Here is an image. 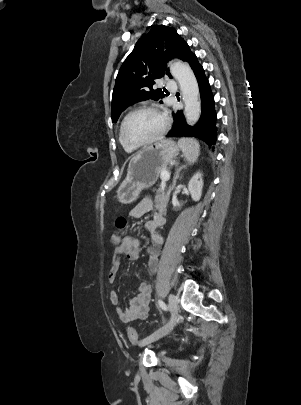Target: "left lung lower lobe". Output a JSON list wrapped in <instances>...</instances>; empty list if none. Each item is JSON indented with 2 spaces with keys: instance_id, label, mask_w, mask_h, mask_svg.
Segmentation results:
<instances>
[{
  "instance_id": "0a47b994",
  "label": "left lung lower lobe",
  "mask_w": 301,
  "mask_h": 405,
  "mask_svg": "<svg viewBox=\"0 0 301 405\" xmlns=\"http://www.w3.org/2000/svg\"><path fill=\"white\" fill-rule=\"evenodd\" d=\"M187 62L192 68L199 84L202 102L201 117L196 125L189 126L182 111H178L176 114H173L174 125L166 137H196L211 147L215 145L217 139L214 98L208 79L204 74V69L199 64L196 55L192 53Z\"/></svg>"
}]
</instances>
